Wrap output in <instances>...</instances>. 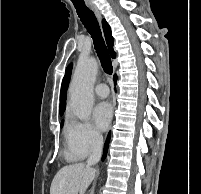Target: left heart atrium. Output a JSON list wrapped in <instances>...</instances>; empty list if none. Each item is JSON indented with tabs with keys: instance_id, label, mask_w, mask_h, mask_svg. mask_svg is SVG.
I'll return each mask as SVG.
<instances>
[{
	"instance_id": "1",
	"label": "left heart atrium",
	"mask_w": 201,
	"mask_h": 194,
	"mask_svg": "<svg viewBox=\"0 0 201 194\" xmlns=\"http://www.w3.org/2000/svg\"><path fill=\"white\" fill-rule=\"evenodd\" d=\"M112 118V107L108 102L97 104L93 110V119L100 130H105Z\"/></svg>"
}]
</instances>
